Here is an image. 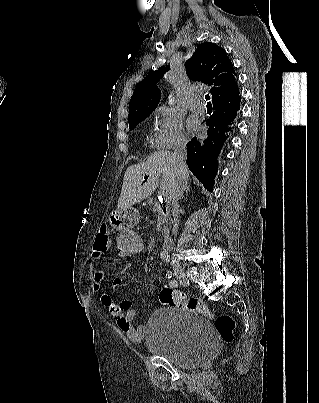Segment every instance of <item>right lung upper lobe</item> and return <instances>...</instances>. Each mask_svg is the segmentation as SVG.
<instances>
[{
    "label": "right lung upper lobe",
    "instance_id": "1",
    "mask_svg": "<svg viewBox=\"0 0 319 403\" xmlns=\"http://www.w3.org/2000/svg\"><path fill=\"white\" fill-rule=\"evenodd\" d=\"M169 69L170 66H162L138 84L130 100L128 121L156 109L161 97L156 84ZM186 73L193 81L214 86L211 89L213 103L239 91L231 60L221 47L213 43L205 42L197 46L192 57L186 61Z\"/></svg>",
    "mask_w": 319,
    "mask_h": 403
}]
</instances>
